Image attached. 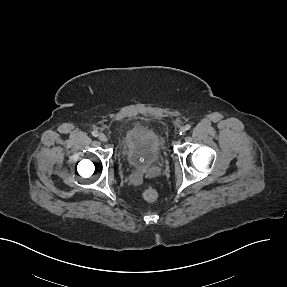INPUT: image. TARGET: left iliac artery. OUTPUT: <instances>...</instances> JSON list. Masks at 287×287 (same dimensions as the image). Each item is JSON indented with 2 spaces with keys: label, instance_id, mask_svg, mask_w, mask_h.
Instances as JSON below:
<instances>
[{
  "label": "left iliac artery",
  "instance_id": "1",
  "mask_svg": "<svg viewBox=\"0 0 287 287\" xmlns=\"http://www.w3.org/2000/svg\"><path fill=\"white\" fill-rule=\"evenodd\" d=\"M190 128H191V125H189V124L185 125V130H189Z\"/></svg>",
  "mask_w": 287,
  "mask_h": 287
}]
</instances>
